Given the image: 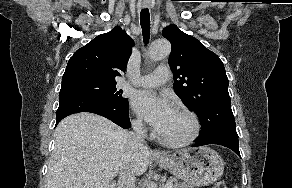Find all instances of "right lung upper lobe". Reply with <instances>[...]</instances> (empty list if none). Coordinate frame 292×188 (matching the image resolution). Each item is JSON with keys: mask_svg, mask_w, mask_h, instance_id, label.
I'll use <instances>...</instances> for the list:
<instances>
[{"mask_svg": "<svg viewBox=\"0 0 292 188\" xmlns=\"http://www.w3.org/2000/svg\"><path fill=\"white\" fill-rule=\"evenodd\" d=\"M132 46V39L116 26L78 49L69 59L62 80L89 77L115 81L120 71H125Z\"/></svg>", "mask_w": 292, "mask_h": 188, "instance_id": "obj_1", "label": "right lung upper lobe"}]
</instances>
